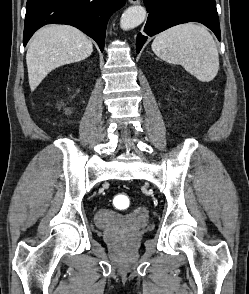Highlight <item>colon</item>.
Here are the masks:
<instances>
[{
	"label": "colon",
	"instance_id": "colon-1",
	"mask_svg": "<svg viewBox=\"0 0 249 294\" xmlns=\"http://www.w3.org/2000/svg\"><path fill=\"white\" fill-rule=\"evenodd\" d=\"M115 205L118 207L127 208L130 205V199L126 195H117L114 198Z\"/></svg>",
	"mask_w": 249,
	"mask_h": 294
}]
</instances>
